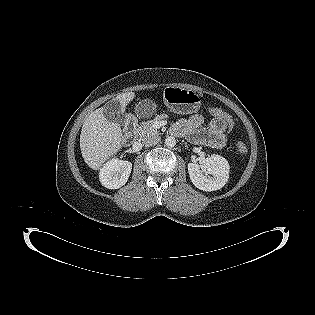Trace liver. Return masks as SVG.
<instances>
[{
    "instance_id": "obj_1",
    "label": "liver",
    "mask_w": 315,
    "mask_h": 315,
    "mask_svg": "<svg viewBox=\"0 0 315 315\" xmlns=\"http://www.w3.org/2000/svg\"><path fill=\"white\" fill-rule=\"evenodd\" d=\"M134 98L133 92L122 93L116 97L121 111ZM104 108L91 112L85 119L80 134V149L85 163L98 170L115 155L124 144V135L120 124L109 121L103 114Z\"/></svg>"
}]
</instances>
